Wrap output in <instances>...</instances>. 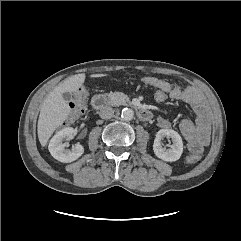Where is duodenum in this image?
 Wrapping results in <instances>:
<instances>
[{
    "label": "duodenum",
    "mask_w": 241,
    "mask_h": 241,
    "mask_svg": "<svg viewBox=\"0 0 241 241\" xmlns=\"http://www.w3.org/2000/svg\"><path fill=\"white\" fill-rule=\"evenodd\" d=\"M110 102V97L106 94H99L93 98V106L97 110L104 109ZM138 117L143 121H148L151 118V114L147 109L142 107H135Z\"/></svg>",
    "instance_id": "1"
}]
</instances>
